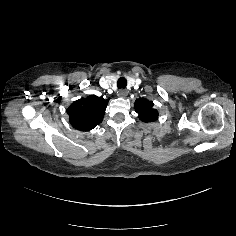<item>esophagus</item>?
<instances>
[{
	"label": "esophagus",
	"instance_id": "34e87169",
	"mask_svg": "<svg viewBox=\"0 0 236 236\" xmlns=\"http://www.w3.org/2000/svg\"><path fill=\"white\" fill-rule=\"evenodd\" d=\"M128 95V91L126 89H121L119 91V96L125 98Z\"/></svg>",
	"mask_w": 236,
	"mask_h": 236
}]
</instances>
